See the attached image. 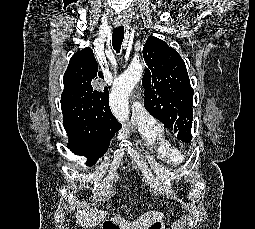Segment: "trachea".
Wrapping results in <instances>:
<instances>
[{"label":"trachea","mask_w":255,"mask_h":229,"mask_svg":"<svg viewBox=\"0 0 255 229\" xmlns=\"http://www.w3.org/2000/svg\"><path fill=\"white\" fill-rule=\"evenodd\" d=\"M123 38H124V27L123 26L116 27L113 30L112 45L117 53L120 52Z\"/></svg>","instance_id":"obj_1"}]
</instances>
